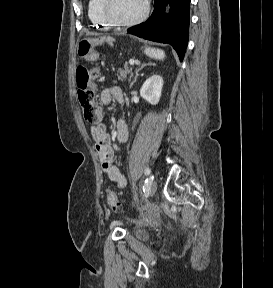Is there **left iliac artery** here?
Masks as SVG:
<instances>
[{
	"label": "left iliac artery",
	"mask_w": 273,
	"mask_h": 288,
	"mask_svg": "<svg viewBox=\"0 0 273 288\" xmlns=\"http://www.w3.org/2000/svg\"><path fill=\"white\" fill-rule=\"evenodd\" d=\"M150 173H151V170H150L149 168H146L145 171H144V174H145L146 176H149ZM153 178H154L153 176H150V177L146 180V182H151V181L153 180Z\"/></svg>",
	"instance_id": "1"
}]
</instances>
